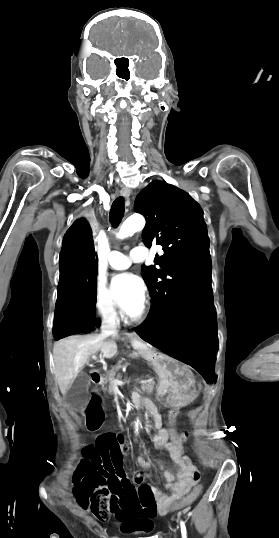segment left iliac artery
<instances>
[{
    "mask_svg": "<svg viewBox=\"0 0 279 538\" xmlns=\"http://www.w3.org/2000/svg\"><path fill=\"white\" fill-rule=\"evenodd\" d=\"M180 525H181L182 537L186 538L187 537L186 527H185V524H184V522L182 520L180 521Z\"/></svg>",
    "mask_w": 279,
    "mask_h": 538,
    "instance_id": "left-iliac-artery-1",
    "label": "left iliac artery"
}]
</instances>
